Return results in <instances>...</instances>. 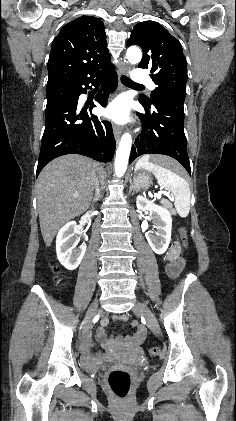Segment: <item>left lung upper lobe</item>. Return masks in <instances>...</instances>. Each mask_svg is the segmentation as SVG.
Instances as JSON below:
<instances>
[{
  "label": "left lung upper lobe",
  "mask_w": 236,
  "mask_h": 421,
  "mask_svg": "<svg viewBox=\"0 0 236 421\" xmlns=\"http://www.w3.org/2000/svg\"><path fill=\"white\" fill-rule=\"evenodd\" d=\"M127 46L138 45L143 50V58L138 67L150 70V77L157 88L150 98L139 102L144 106L155 103L162 94L174 93L185 98L187 82V62L182 47L164 27L154 21H144L135 25Z\"/></svg>",
  "instance_id": "1"
}]
</instances>
